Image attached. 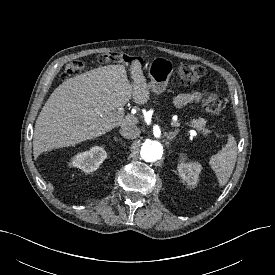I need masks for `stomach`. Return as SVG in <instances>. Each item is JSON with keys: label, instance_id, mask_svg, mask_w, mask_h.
<instances>
[{"label": "stomach", "instance_id": "stomach-1", "mask_svg": "<svg viewBox=\"0 0 275 275\" xmlns=\"http://www.w3.org/2000/svg\"><path fill=\"white\" fill-rule=\"evenodd\" d=\"M173 69V63L170 60L163 57L154 58L149 64L148 74L151 80L148 84L149 89L156 94L164 92Z\"/></svg>", "mask_w": 275, "mask_h": 275}]
</instances>
